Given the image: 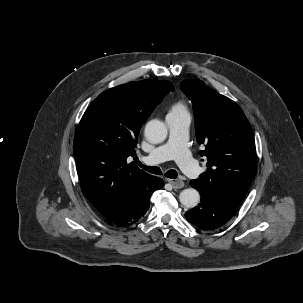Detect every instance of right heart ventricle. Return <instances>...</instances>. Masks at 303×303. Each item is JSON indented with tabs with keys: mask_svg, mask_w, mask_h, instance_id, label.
<instances>
[{
	"mask_svg": "<svg viewBox=\"0 0 303 303\" xmlns=\"http://www.w3.org/2000/svg\"><path fill=\"white\" fill-rule=\"evenodd\" d=\"M182 114H188L187 108L182 102H176L170 107L167 116L182 115Z\"/></svg>",
	"mask_w": 303,
	"mask_h": 303,
	"instance_id": "obj_1",
	"label": "right heart ventricle"
}]
</instances>
